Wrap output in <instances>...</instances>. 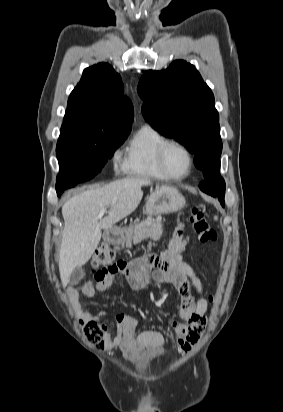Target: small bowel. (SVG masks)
Listing matches in <instances>:
<instances>
[{
    "instance_id": "obj_1",
    "label": "small bowel",
    "mask_w": 283,
    "mask_h": 412,
    "mask_svg": "<svg viewBox=\"0 0 283 412\" xmlns=\"http://www.w3.org/2000/svg\"><path fill=\"white\" fill-rule=\"evenodd\" d=\"M190 244V236L184 239V246ZM149 257H157L155 254ZM154 274L149 276L147 271L136 270L130 262L127 268L117 274L87 281L79 289L73 290L71 296L83 320L100 322L106 317L105 311L92 313L86 303L96 293L104 294L112 285L115 276H123L133 290H143L151 282L172 284L182 296L179 310L183 322L169 319L167 324L174 330L177 342L183 351H188L200 338L206 324L207 300L203 297L202 284L193 267L182 260L179 255L172 257L166 267L153 266ZM79 294L81 297L79 298ZM117 325L116 334H104L107 348H119L123 356L134 363H143L151 355L159 353L164 346L163 335L155 330H145L137 333L139 321L127 313H119L114 317Z\"/></svg>"
}]
</instances>
